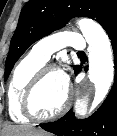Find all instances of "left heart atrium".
<instances>
[{"label": "left heart atrium", "mask_w": 117, "mask_h": 136, "mask_svg": "<svg viewBox=\"0 0 117 136\" xmlns=\"http://www.w3.org/2000/svg\"><path fill=\"white\" fill-rule=\"evenodd\" d=\"M60 73H61V77H62V81H63L64 85L68 87L69 76L67 75V73L65 71H61Z\"/></svg>", "instance_id": "left-heart-atrium-1"}]
</instances>
